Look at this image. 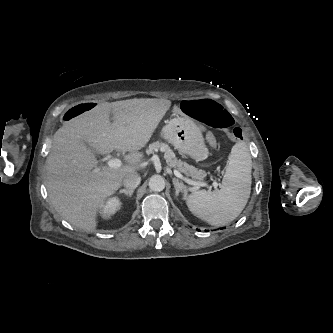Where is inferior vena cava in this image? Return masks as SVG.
<instances>
[{"label": "inferior vena cava", "mask_w": 333, "mask_h": 333, "mask_svg": "<svg viewBox=\"0 0 333 333\" xmlns=\"http://www.w3.org/2000/svg\"><path fill=\"white\" fill-rule=\"evenodd\" d=\"M141 182V177L138 173L132 172L126 175L123 179V185L128 190H134Z\"/></svg>", "instance_id": "602c4592"}]
</instances>
